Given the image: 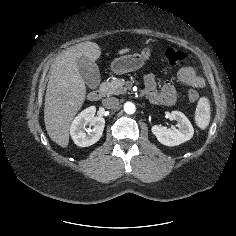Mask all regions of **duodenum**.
<instances>
[{
    "instance_id": "1",
    "label": "duodenum",
    "mask_w": 236,
    "mask_h": 236,
    "mask_svg": "<svg viewBox=\"0 0 236 236\" xmlns=\"http://www.w3.org/2000/svg\"><path fill=\"white\" fill-rule=\"evenodd\" d=\"M105 89L103 86H100L92 91L89 92L88 94V99L91 102H96L99 101L102 96L104 95Z\"/></svg>"
}]
</instances>
